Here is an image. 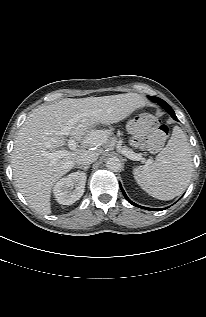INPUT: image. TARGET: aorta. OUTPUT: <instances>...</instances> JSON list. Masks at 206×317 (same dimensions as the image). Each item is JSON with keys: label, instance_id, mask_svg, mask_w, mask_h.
Returning <instances> with one entry per match:
<instances>
[{"label": "aorta", "instance_id": "1", "mask_svg": "<svg viewBox=\"0 0 206 317\" xmlns=\"http://www.w3.org/2000/svg\"><path fill=\"white\" fill-rule=\"evenodd\" d=\"M106 167L110 171L117 172V171H119L121 169L122 163H121V161H120V159L118 157L113 156V157H109L107 159Z\"/></svg>", "mask_w": 206, "mask_h": 317}]
</instances>
